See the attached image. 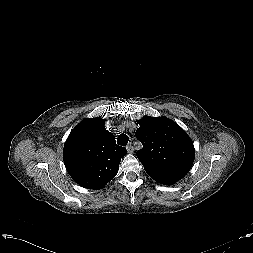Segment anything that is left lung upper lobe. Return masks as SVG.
I'll return each instance as SVG.
<instances>
[{
    "label": "left lung upper lobe",
    "mask_w": 253,
    "mask_h": 253,
    "mask_svg": "<svg viewBox=\"0 0 253 253\" xmlns=\"http://www.w3.org/2000/svg\"><path fill=\"white\" fill-rule=\"evenodd\" d=\"M136 137L143 144L136 155L145 171L186 175L192 167L195 149L187 133L165 117L144 116L137 121Z\"/></svg>",
    "instance_id": "1"
}]
</instances>
